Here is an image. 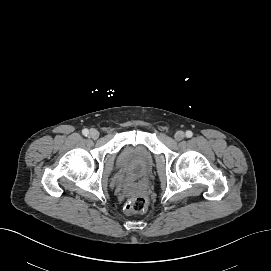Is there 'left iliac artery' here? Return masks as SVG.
<instances>
[{
	"label": "left iliac artery",
	"mask_w": 271,
	"mask_h": 271,
	"mask_svg": "<svg viewBox=\"0 0 271 271\" xmlns=\"http://www.w3.org/2000/svg\"><path fill=\"white\" fill-rule=\"evenodd\" d=\"M192 136H193L192 131H190V130L186 131V137L190 138Z\"/></svg>",
	"instance_id": "left-iliac-artery-1"
}]
</instances>
